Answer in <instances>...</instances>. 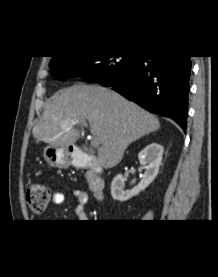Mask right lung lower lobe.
<instances>
[{
  "mask_svg": "<svg viewBox=\"0 0 218 277\" xmlns=\"http://www.w3.org/2000/svg\"><path fill=\"white\" fill-rule=\"evenodd\" d=\"M190 56H140L119 80L94 81L111 86L146 110L187 127Z\"/></svg>",
  "mask_w": 218,
  "mask_h": 277,
  "instance_id": "1",
  "label": "right lung lower lobe"
}]
</instances>
